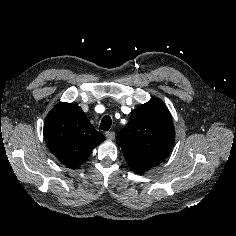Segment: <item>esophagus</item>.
Instances as JSON below:
<instances>
[{"mask_svg":"<svg viewBox=\"0 0 236 236\" xmlns=\"http://www.w3.org/2000/svg\"><path fill=\"white\" fill-rule=\"evenodd\" d=\"M105 136L109 140H114L115 139V132L114 131H108L105 133Z\"/></svg>","mask_w":236,"mask_h":236,"instance_id":"1","label":"esophagus"}]
</instances>
